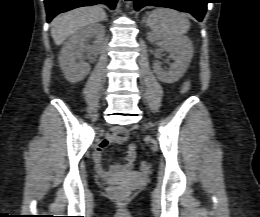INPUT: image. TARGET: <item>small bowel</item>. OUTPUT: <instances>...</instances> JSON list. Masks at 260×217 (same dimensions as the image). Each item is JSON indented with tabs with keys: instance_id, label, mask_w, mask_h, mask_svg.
<instances>
[{
	"instance_id": "c3829d8e",
	"label": "small bowel",
	"mask_w": 260,
	"mask_h": 217,
	"mask_svg": "<svg viewBox=\"0 0 260 217\" xmlns=\"http://www.w3.org/2000/svg\"><path fill=\"white\" fill-rule=\"evenodd\" d=\"M189 88V82L185 81L182 85V91L185 92ZM128 137V131L122 127H116L112 132L101 140L92 154V161L95 165V170L98 175L104 179H112L114 176H121L132 172L135 157H136V146L131 144L128 148L126 155L123 157V161L115 163L110 170L103 168L101 159L104 149L112 143L122 144Z\"/></svg>"
}]
</instances>
